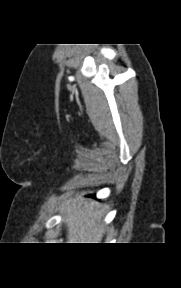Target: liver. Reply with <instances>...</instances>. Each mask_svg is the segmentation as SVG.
<instances>
[{"label": "liver", "instance_id": "obj_1", "mask_svg": "<svg viewBox=\"0 0 181 288\" xmlns=\"http://www.w3.org/2000/svg\"><path fill=\"white\" fill-rule=\"evenodd\" d=\"M68 243H99L104 236V211L95 201L80 200L65 210Z\"/></svg>", "mask_w": 181, "mask_h": 288}]
</instances>
